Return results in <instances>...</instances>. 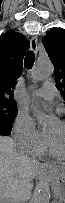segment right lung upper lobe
<instances>
[{
  "label": "right lung upper lobe",
  "mask_w": 65,
  "mask_h": 203,
  "mask_svg": "<svg viewBox=\"0 0 65 203\" xmlns=\"http://www.w3.org/2000/svg\"><path fill=\"white\" fill-rule=\"evenodd\" d=\"M30 42L22 34L8 31L0 36V101L14 102L12 88L22 73L23 57Z\"/></svg>",
  "instance_id": "1"
}]
</instances>
